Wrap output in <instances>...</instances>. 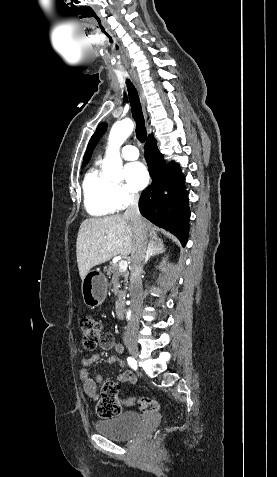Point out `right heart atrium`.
Returning a JSON list of instances; mask_svg holds the SVG:
<instances>
[{"instance_id":"right-heart-atrium-1","label":"right heart atrium","mask_w":277,"mask_h":477,"mask_svg":"<svg viewBox=\"0 0 277 477\" xmlns=\"http://www.w3.org/2000/svg\"><path fill=\"white\" fill-rule=\"evenodd\" d=\"M112 197L117 210L124 209L138 200V194L123 184L113 186Z\"/></svg>"}]
</instances>
